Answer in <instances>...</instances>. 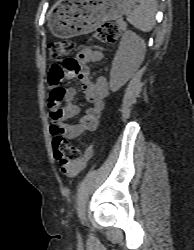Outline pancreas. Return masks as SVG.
Returning <instances> with one entry per match:
<instances>
[{
  "label": "pancreas",
  "instance_id": "cf45deb5",
  "mask_svg": "<svg viewBox=\"0 0 194 250\" xmlns=\"http://www.w3.org/2000/svg\"><path fill=\"white\" fill-rule=\"evenodd\" d=\"M118 27L120 30H125L126 29V23L123 22L122 20L117 21Z\"/></svg>",
  "mask_w": 194,
  "mask_h": 250
}]
</instances>
